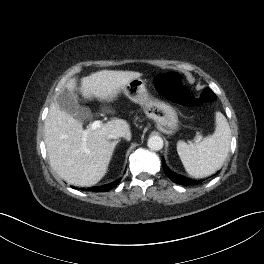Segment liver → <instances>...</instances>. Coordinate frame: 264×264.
Here are the masks:
<instances>
[{
  "mask_svg": "<svg viewBox=\"0 0 264 264\" xmlns=\"http://www.w3.org/2000/svg\"><path fill=\"white\" fill-rule=\"evenodd\" d=\"M141 73L102 70L81 79L80 91L85 98L107 100ZM65 88L73 92L76 80L70 79ZM87 135L84 136V132ZM112 132L131 138L130 127L123 119H112L96 130H84L82 123L52 103L44 123L47 154L51 167L68 184L88 187L97 184L107 173L113 148L107 140Z\"/></svg>",
  "mask_w": 264,
  "mask_h": 264,
  "instance_id": "1",
  "label": "liver"
}]
</instances>
